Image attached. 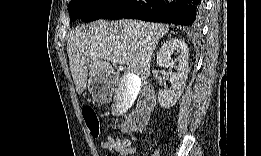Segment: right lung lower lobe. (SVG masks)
Wrapping results in <instances>:
<instances>
[{"label": "right lung lower lobe", "instance_id": "1", "mask_svg": "<svg viewBox=\"0 0 261 156\" xmlns=\"http://www.w3.org/2000/svg\"><path fill=\"white\" fill-rule=\"evenodd\" d=\"M202 11L201 0H118L101 18H133L197 27Z\"/></svg>", "mask_w": 261, "mask_h": 156}]
</instances>
